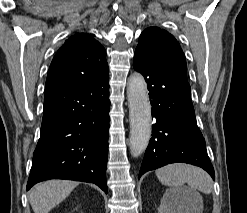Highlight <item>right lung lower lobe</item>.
Instances as JSON below:
<instances>
[{"mask_svg": "<svg viewBox=\"0 0 247 213\" xmlns=\"http://www.w3.org/2000/svg\"><path fill=\"white\" fill-rule=\"evenodd\" d=\"M109 73L45 93L27 190L48 179L98 185L107 193Z\"/></svg>", "mask_w": 247, "mask_h": 213, "instance_id": "1", "label": "right lung lower lobe"}]
</instances>
